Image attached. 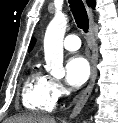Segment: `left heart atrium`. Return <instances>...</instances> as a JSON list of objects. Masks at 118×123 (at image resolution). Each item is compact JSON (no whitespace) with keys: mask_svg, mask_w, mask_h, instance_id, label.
Segmentation results:
<instances>
[{"mask_svg":"<svg viewBox=\"0 0 118 123\" xmlns=\"http://www.w3.org/2000/svg\"><path fill=\"white\" fill-rule=\"evenodd\" d=\"M66 82L74 88L81 87L90 75V65L88 61L80 55L72 56L66 63Z\"/></svg>","mask_w":118,"mask_h":123,"instance_id":"1","label":"left heart atrium"}]
</instances>
